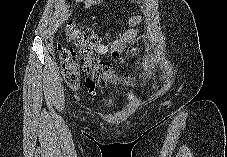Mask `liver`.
<instances>
[{"mask_svg": "<svg viewBox=\"0 0 227 157\" xmlns=\"http://www.w3.org/2000/svg\"><path fill=\"white\" fill-rule=\"evenodd\" d=\"M92 2H93V1L90 0V1H88V4H90V3H92Z\"/></svg>", "mask_w": 227, "mask_h": 157, "instance_id": "liver-1", "label": "liver"}]
</instances>
